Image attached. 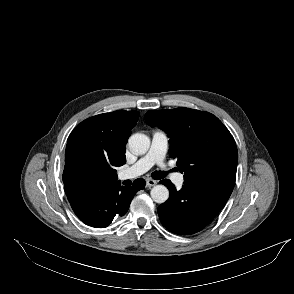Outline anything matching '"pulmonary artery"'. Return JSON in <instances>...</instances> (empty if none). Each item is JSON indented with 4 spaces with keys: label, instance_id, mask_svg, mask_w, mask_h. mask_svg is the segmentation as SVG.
I'll return each instance as SVG.
<instances>
[{
    "label": "pulmonary artery",
    "instance_id": "1",
    "mask_svg": "<svg viewBox=\"0 0 294 294\" xmlns=\"http://www.w3.org/2000/svg\"><path fill=\"white\" fill-rule=\"evenodd\" d=\"M168 146L169 139L167 134L162 130H154L148 152L132 166L124 168L119 173L120 179L126 180L135 178L147 172L154 165H158L164 169L167 174H171L176 185L181 186L184 182V175L182 173H171L165 163Z\"/></svg>",
    "mask_w": 294,
    "mask_h": 294
}]
</instances>
